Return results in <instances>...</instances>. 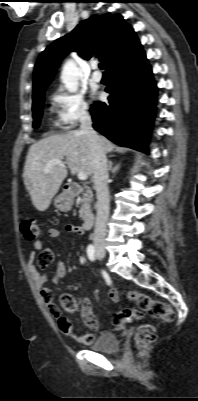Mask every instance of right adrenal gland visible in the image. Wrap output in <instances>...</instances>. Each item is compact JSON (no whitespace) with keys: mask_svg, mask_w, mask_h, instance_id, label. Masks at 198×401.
<instances>
[{"mask_svg":"<svg viewBox=\"0 0 198 401\" xmlns=\"http://www.w3.org/2000/svg\"><path fill=\"white\" fill-rule=\"evenodd\" d=\"M108 170L109 171L113 170V163L111 160L108 161Z\"/></svg>","mask_w":198,"mask_h":401,"instance_id":"1","label":"right adrenal gland"}]
</instances>
